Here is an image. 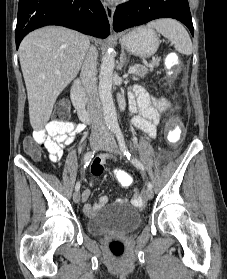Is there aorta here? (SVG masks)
Masks as SVG:
<instances>
[{"label":"aorta","mask_w":227,"mask_h":279,"mask_svg":"<svg viewBox=\"0 0 227 279\" xmlns=\"http://www.w3.org/2000/svg\"><path fill=\"white\" fill-rule=\"evenodd\" d=\"M115 67V59L111 52L102 57L99 74V97L106 125L111 129L118 128L116 108L112 98V79Z\"/></svg>","instance_id":"obj_1"}]
</instances>
